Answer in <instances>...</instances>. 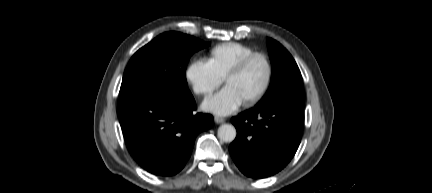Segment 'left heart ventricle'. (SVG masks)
I'll return each instance as SVG.
<instances>
[{
    "instance_id": "left-heart-ventricle-1",
    "label": "left heart ventricle",
    "mask_w": 432,
    "mask_h": 193,
    "mask_svg": "<svg viewBox=\"0 0 432 193\" xmlns=\"http://www.w3.org/2000/svg\"><path fill=\"white\" fill-rule=\"evenodd\" d=\"M266 78V66L262 59H255L239 76L231 79L227 84L240 97L247 100L262 88Z\"/></svg>"
}]
</instances>
